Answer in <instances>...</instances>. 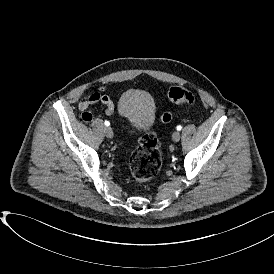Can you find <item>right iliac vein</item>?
Returning a JSON list of instances; mask_svg holds the SVG:
<instances>
[{
    "mask_svg": "<svg viewBox=\"0 0 274 274\" xmlns=\"http://www.w3.org/2000/svg\"><path fill=\"white\" fill-rule=\"evenodd\" d=\"M104 133L108 138H111L113 136V130L110 127H106L104 129Z\"/></svg>",
    "mask_w": 274,
    "mask_h": 274,
    "instance_id": "obj_1",
    "label": "right iliac vein"
}]
</instances>
